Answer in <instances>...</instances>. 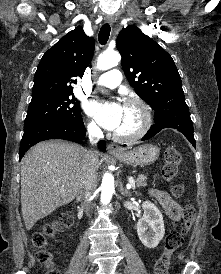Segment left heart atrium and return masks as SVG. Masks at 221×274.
Listing matches in <instances>:
<instances>
[{
  "mask_svg": "<svg viewBox=\"0 0 221 274\" xmlns=\"http://www.w3.org/2000/svg\"><path fill=\"white\" fill-rule=\"evenodd\" d=\"M87 111L104 128L116 130L121 121L123 106L118 102L93 101L88 104Z\"/></svg>",
  "mask_w": 221,
  "mask_h": 274,
  "instance_id": "left-heart-atrium-1",
  "label": "left heart atrium"
}]
</instances>
